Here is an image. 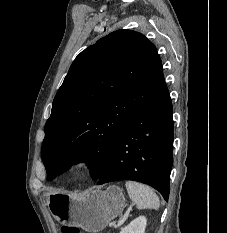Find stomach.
Wrapping results in <instances>:
<instances>
[{"label":"stomach","mask_w":227,"mask_h":233,"mask_svg":"<svg viewBox=\"0 0 227 233\" xmlns=\"http://www.w3.org/2000/svg\"><path fill=\"white\" fill-rule=\"evenodd\" d=\"M47 196L49 209L58 222L93 233L103 230L126 206L122 190L115 186L105 191L94 190L84 196L60 191L50 192Z\"/></svg>","instance_id":"0dacf381"}]
</instances>
